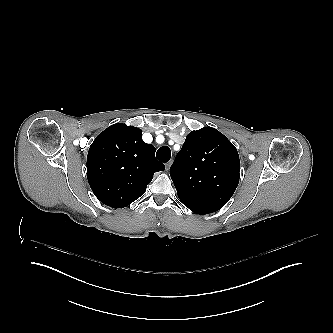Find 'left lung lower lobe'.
Here are the masks:
<instances>
[{"instance_id": "left-lung-lower-lobe-1", "label": "left lung lower lobe", "mask_w": 333, "mask_h": 333, "mask_svg": "<svg viewBox=\"0 0 333 333\" xmlns=\"http://www.w3.org/2000/svg\"><path fill=\"white\" fill-rule=\"evenodd\" d=\"M193 212H195L197 214H205V213H202V212H199V211H193Z\"/></svg>"}]
</instances>
